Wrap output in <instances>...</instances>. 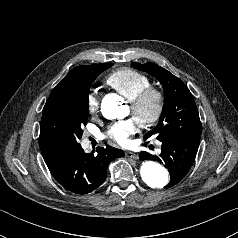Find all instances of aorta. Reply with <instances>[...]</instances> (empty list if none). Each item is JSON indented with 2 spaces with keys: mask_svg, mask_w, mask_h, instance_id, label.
<instances>
[{
  "mask_svg": "<svg viewBox=\"0 0 238 238\" xmlns=\"http://www.w3.org/2000/svg\"><path fill=\"white\" fill-rule=\"evenodd\" d=\"M101 111L105 118H124L128 114V107L123 104L119 96H107L103 99ZM142 180L151 188L162 189L169 182L166 168L154 161H144L140 168Z\"/></svg>",
  "mask_w": 238,
  "mask_h": 238,
  "instance_id": "aorta-1",
  "label": "aorta"
}]
</instances>
